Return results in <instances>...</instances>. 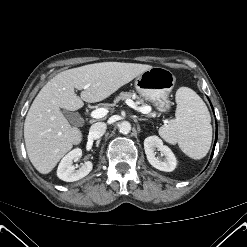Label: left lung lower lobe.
Here are the masks:
<instances>
[{
  "mask_svg": "<svg viewBox=\"0 0 247 247\" xmlns=\"http://www.w3.org/2000/svg\"><path fill=\"white\" fill-rule=\"evenodd\" d=\"M216 140H217V129H216V139H215V144H216ZM215 144H214V148H213V152H212V155H211V157L213 156V153H214V149H215Z\"/></svg>",
  "mask_w": 247,
  "mask_h": 247,
  "instance_id": "1",
  "label": "left lung lower lobe"
}]
</instances>
